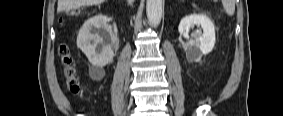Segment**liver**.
I'll use <instances>...</instances> for the list:
<instances>
[{
	"instance_id": "6515ba94",
	"label": "liver",
	"mask_w": 283,
	"mask_h": 116,
	"mask_svg": "<svg viewBox=\"0 0 283 116\" xmlns=\"http://www.w3.org/2000/svg\"><path fill=\"white\" fill-rule=\"evenodd\" d=\"M104 0H58L57 12L68 11L81 6L99 4Z\"/></svg>"
}]
</instances>
